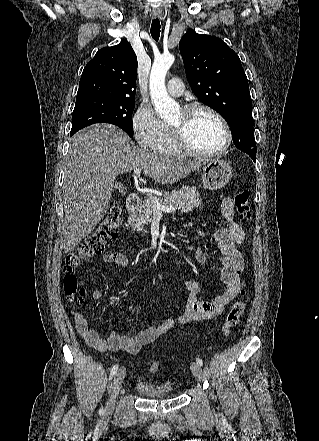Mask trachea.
Instances as JSON below:
<instances>
[{
	"label": "trachea",
	"instance_id": "1",
	"mask_svg": "<svg viewBox=\"0 0 319 441\" xmlns=\"http://www.w3.org/2000/svg\"><path fill=\"white\" fill-rule=\"evenodd\" d=\"M160 30H161L160 21L158 18H156L152 21L151 29H150L151 36L155 41L159 40Z\"/></svg>",
	"mask_w": 319,
	"mask_h": 441
}]
</instances>
